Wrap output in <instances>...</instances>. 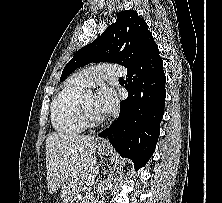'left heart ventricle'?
Here are the masks:
<instances>
[{
  "label": "left heart ventricle",
  "instance_id": "obj_1",
  "mask_svg": "<svg viewBox=\"0 0 222 203\" xmlns=\"http://www.w3.org/2000/svg\"><path fill=\"white\" fill-rule=\"evenodd\" d=\"M85 107L88 113L94 118H100L102 115L97 111L95 106V97L91 94H87L84 97Z\"/></svg>",
  "mask_w": 222,
  "mask_h": 203
}]
</instances>
